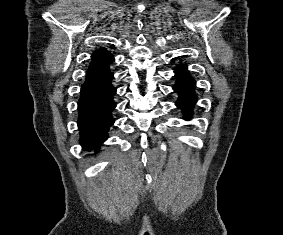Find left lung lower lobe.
Segmentation results:
<instances>
[{"label":"left lung lower lobe","instance_id":"left-lung-lower-lobe-1","mask_svg":"<svg viewBox=\"0 0 283 235\" xmlns=\"http://www.w3.org/2000/svg\"><path fill=\"white\" fill-rule=\"evenodd\" d=\"M177 81L173 89L179 94V99L176 105L183 109L186 116L185 119H190L193 115L192 109L197 101V96L194 92L195 81L188 73L185 65H180L175 70Z\"/></svg>","mask_w":283,"mask_h":235}]
</instances>
